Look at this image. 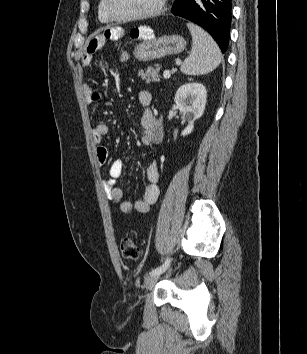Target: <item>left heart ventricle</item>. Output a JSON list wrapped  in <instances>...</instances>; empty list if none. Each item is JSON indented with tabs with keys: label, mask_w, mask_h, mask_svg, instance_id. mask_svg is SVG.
I'll list each match as a JSON object with an SVG mask.
<instances>
[{
	"label": "left heart ventricle",
	"mask_w": 307,
	"mask_h": 354,
	"mask_svg": "<svg viewBox=\"0 0 307 354\" xmlns=\"http://www.w3.org/2000/svg\"><path fill=\"white\" fill-rule=\"evenodd\" d=\"M113 10L119 15H133L152 9L158 0H111Z\"/></svg>",
	"instance_id": "obj_1"
}]
</instances>
